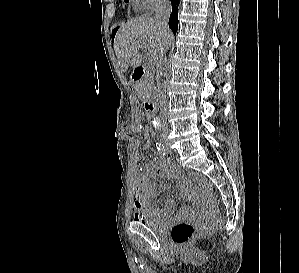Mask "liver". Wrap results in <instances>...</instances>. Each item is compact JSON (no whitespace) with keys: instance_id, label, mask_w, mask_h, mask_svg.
I'll use <instances>...</instances> for the list:
<instances>
[{"instance_id":"liver-1","label":"liver","mask_w":299,"mask_h":273,"mask_svg":"<svg viewBox=\"0 0 299 273\" xmlns=\"http://www.w3.org/2000/svg\"><path fill=\"white\" fill-rule=\"evenodd\" d=\"M172 38L171 32L163 31L155 18L138 17L120 24L114 49L121 69L126 72L130 63L134 68L142 64L143 56L138 52L142 44L147 46V57L160 59Z\"/></svg>"}]
</instances>
